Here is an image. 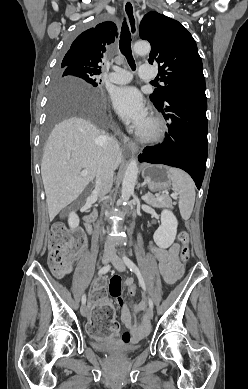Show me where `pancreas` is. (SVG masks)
<instances>
[{"instance_id": "pancreas-1", "label": "pancreas", "mask_w": 248, "mask_h": 389, "mask_svg": "<svg viewBox=\"0 0 248 389\" xmlns=\"http://www.w3.org/2000/svg\"><path fill=\"white\" fill-rule=\"evenodd\" d=\"M147 203L155 206V207H168L172 208V200L168 195H163L162 199H157L151 195H149V199L147 200Z\"/></svg>"}]
</instances>
